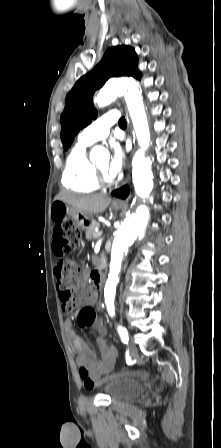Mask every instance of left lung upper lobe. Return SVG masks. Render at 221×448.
<instances>
[{
    "instance_id": "1",
    "label": "left lung upper lobe",
    "mask_w": 221,
    "mask_h": 448,
    "mask_svg": "<svg viewBox=\"0 0 221 448\" xmlns=\"http://www.w3.org/2000/svg\"><path fill=\"white\" fill-rule=\"evenodd\" d=\"M137 55L129 46L109 48L100 63L82 76L66 96L65 109L61 115V139L67 150L79 130L95 119L97 112L92 103L94 92L112 76H131L140 79Z\"/></svg>"
}]
</instances>
